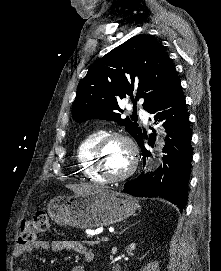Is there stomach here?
Returning a JSON list of instances; mask_svg holds the SVG:
<instances>
[{
	"instance_id": "stomach-1",
	"label": "stomach",
	"mask_w": 221,
	"mask_h": 271,
	"mask_svg": "<svg viewBox=\"0 0 221 271\" xmlns=\"http://www.w3.org/2000/svg\"><path fill=\"white\" fill-rule=\"evenodd\" d=\"M51 201L47 206L56 223L81 229L123 221L139 207L136 197L114 189H96L75 197H52Z\"/></svg>"
}]
</instances>
